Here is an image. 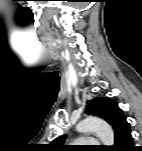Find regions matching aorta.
Returning <instances> with one entry per match:
<instances>
[{
  "instance_id": "1",
  "label": "aorta",
  "mask_w": 142,
  "mask_h": 151,
  "mask_svg": "<svg viewBox=\"0 0 142 151\" xmlns=\"http://www.w3.org/2000/svg\"><path fill=\"white\" fill-rule=\"evenodd\" d=\"M76 130L80 133L95 132L103 145H114V132L111 126L99 118H85L76 125Z\"/></svg>"
}]
</instances>
